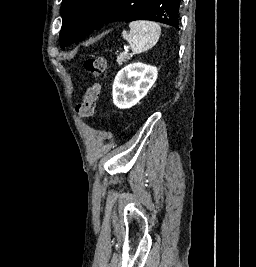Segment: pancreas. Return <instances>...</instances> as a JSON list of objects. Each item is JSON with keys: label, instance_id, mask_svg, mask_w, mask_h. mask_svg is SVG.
Segmentation results:
<instances>
[{"label": "pancreas", "instance_id": "obj_1", "mask_svg": "<svg viewBox=\"0 0 256 267\" xmlns=\"http://www.w3.org/2000/svg\"><path fill=\"white\" fill-rule=\"evenodd\" d=\"M129 58V54H120V56H117L116 62H118L119 66H122L123 62H128Z\"/></svg>", "mask_w": 256, "mask_h": 267}]
</instances>
